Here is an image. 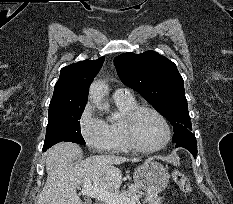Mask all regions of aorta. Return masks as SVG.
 <instances>
[{
    "label": "aorta",
    "mask_w": 233,
    "mask_h": 204,
    "mask_svg": "<svg viewBox=\"0 0 233 204\" xmlns=\"http://www.w3.org/2000/svg\"><path fill=\"white\" fill-rule=\"evenodd\" d=\"M108 86L101 80L94 81L90 86L89 99L100 111H108L109 105L104 103Z\"/></svg>",
    "instance_id": "obj_1"
}]
</instances>
